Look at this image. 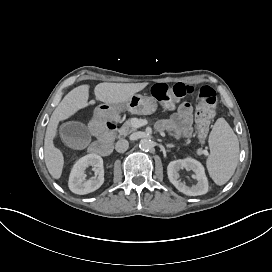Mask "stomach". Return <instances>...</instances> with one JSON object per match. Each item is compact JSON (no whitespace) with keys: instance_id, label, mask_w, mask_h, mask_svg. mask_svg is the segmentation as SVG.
<instances>
[{"instance_id":"obj_1","label":"stomach","mask_w":272,"mask_h":272,"mask_svg":"<svg viewBox=\"0 0 272 272\" xmlns=\"http://www.w3.org/2000/svg\"><path fill=\"white\" fill-rule=\"evenodd\" d=\"M128 111L139 115H149L156 112L158 108L157 100L151 96L133 95L128 101L123 103Z\"/></svg>"}]
</instances>
